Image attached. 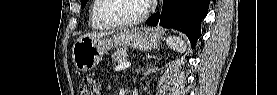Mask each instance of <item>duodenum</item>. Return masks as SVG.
Here are the masks:
<instances>
[{
  "label": "duodenum",
  "instance_id": "1",
  "mask_svg": "<svg viewBox=\"0 0 277 95\" xmlns=\"http://www.w3.org/2000/svg\"><path fill=\"white\" fill-rule=\"evenodd\" d=\"M130 94H131V95H137V94H139L137 88L134 87L133 90H132V92H131Z\"/></svg>",
  "mask_w": 277,
  "mask_h": 95
}]
</instances>
